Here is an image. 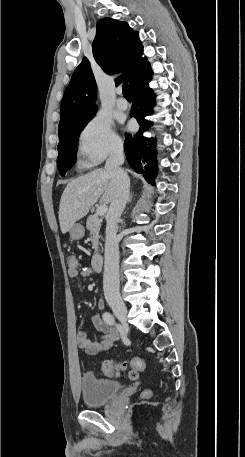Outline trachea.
Wrapping results in <instances>:
<instances>
[{
    "instance_id": "obj_1",
    "label": "trachea",
    "mask_w": 245,
    "mask_h": 457,
    "mask_svg": "<svg viewBox=\"0 0 245 457\" xmlns=\"http://www.w3.org/2000/svg\"><path fill=\"white\" fill-rule=\"evenodd\" d=\"M122 89H123V95H124V97H130V98H131L129 86H128L127 83H124V84L122 85Z\"/></svg>"
}]
</instances>
